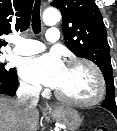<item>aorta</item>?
I'll list each match as a JSON object with an SVG mask.
<instances>
[{"instance_id": "obj_1", "label": "aorta", "mask_w": 117, "mask_h": 131, "mask_svg": "<svg viewBox=\"0 0 117 131\" xmlns=\"http://www.w3.org/2000/svg\"><path fill=\"white\" fill-rule=\"evenodd\" d=\"M60 19H61V14L55 8H48L43 13V21L48 26L55 25L60 21Z\"/></svg>"}]
</instances>
